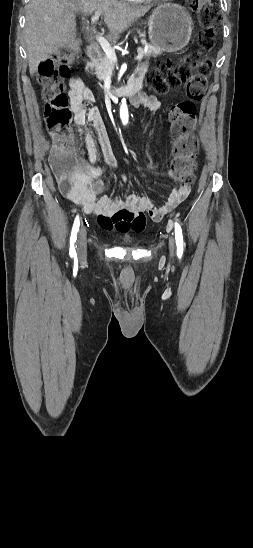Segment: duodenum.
I'll return each mask as SVG.
<instances>
[{
    "instance_id": "obj_1",
    "label": "duodenum",
    "mask_w": 253,
    "mask_h": 548,
    "mask_svg": "<svg viewBox=\"0 0 253 548\" xmlns=\"http://www.w3.org/2000/svg\"><path fill=\"white\" fill-rule=\"evenodd\" d=\"M100 51L97 46L91 45L88 47L87 56L90 60H95L98 58ZM141 88V78L134 77L131 78L129 83L124 87L112 88L109 91V94L113 97H123L129 96L134 97Z\"/></svg>"
}]
</instances>
